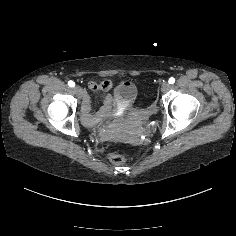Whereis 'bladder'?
Here are the masks:
<instances>
[{
    "instance_id": "obj_1",
    "label": "bladder",
    "mask_w": 236,
    "mask_h": 236,
    "mask_svg": "<svg viewBox=\"0 0 236 236\" xmlns=\"http://www.w3.org/2000/svg\"><path fill=\"white\" fill-rule=\"evenodd\" d=\"M115 96L127 103L137 97V85L135 82L120 80L114 88Z\"/></svg>"
}]
</instances>
